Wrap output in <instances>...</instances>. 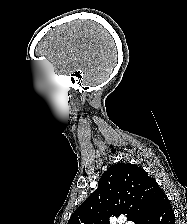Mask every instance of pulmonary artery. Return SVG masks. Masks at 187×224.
Instances as JSON below:
<instances>
[{"label":"pulmonary artery","instance_id":"e3ab8cb5","mask_svg":"<svg viewBox=\"0 0 187 224\" xmlns=\"http://www.w3.org/2000/svg\"><path fill=\"white\" fill-rule=\"evenodd\" d=\"M123 224H134L132 221H127V220H124L123 221Z\"/></svg>","mask_w":187,"mask_h":224}]
</instances>
